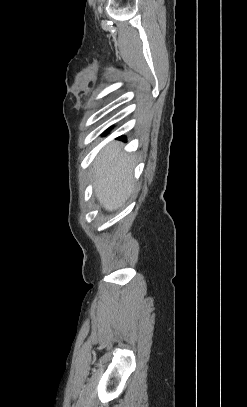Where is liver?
<instances>
[{
  "label": "liver",
  "instance_id": "obj_1",
  "mask_svg": "<svg viewBox=\"0 0 247 407\" xmlns=\"http://www.w3.org/2000/svg\"><path fill=\"white\" fill-rule=\"evenodd\" d=\"M122 146L114 142L94 161L95 194L108 211L122 207L133 190V157L121 154Z\"/></svg>",
  "mask_w": 247,
  "mask_h": 407
}]
</instances>
